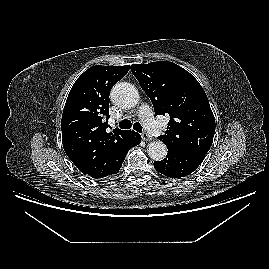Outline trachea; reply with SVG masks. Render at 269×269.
<instances>
[{
    "instance_id": "3493384b",
    "label": "trachea",
    "mask_w": 269,
    "mask_h": 269,
    "mask_svg": "<svg viewBox=\"0 0 269 269\" xmlns=\"http://www.w3.org/2000/svg\"><path fill=\"white\" fill-rule=\"evenodd\" d=\"M119 127L121 129H130L132 127V123L128 119H124L119 123ZM133 129L137 132H142V126L140 123L136 122L133 124Z\"/></svg>"
}]
</instances>
